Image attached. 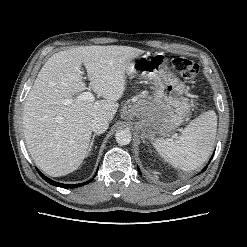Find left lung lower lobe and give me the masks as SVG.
Returning a JSON list of instances; mask_svg holds the SVG:
<instances>
[{"instance_id": "obj_1", "label": "left lung lower lobe", "mask_w": 247, "mask_h": 247, "mask_svg": "<svg viewBox=\"0 0 247 247\" xmlns=\"http://www.w3.org/2000/svg\"><path fill=\"white\" fill-rule=\"evenodd\" d=\"M212 159V158H211ZM211 159H210V161H211ZM209 161V162H210ZM206 168H207V166L206 167H204L203 169H202V172H204L205 170H206ZM138 171H139V173L141 174V172H140V170H139V168H138Z\"/></svg>"}]
</instances>
